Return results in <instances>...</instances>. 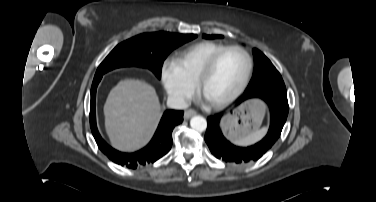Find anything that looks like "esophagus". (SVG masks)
<instances>
[{"label": "esophagus", "instance_id": "34e87169", "mask_svg": "<svg viewBox=\"0 0 376 202\" xmlns=\"http://www.w3.org/2000/svg\"><path fill=\"white\" fill-rule=\"evenodd\" d=\"M194 115H196V111L193 110V109H188V110H186L185 113H184V118H185V119H189V118H191V117L194 116Z\"/></svg>", "mask_w": 376, "mask_h": 202}]
</instances>
